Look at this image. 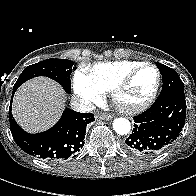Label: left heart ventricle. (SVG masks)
Returning a JSON list of instances; mask_svg holds the SVG:
<instances>
[{
  "mask_svg": "<svg viewBox=\"0 0 196 196\" xmlns=\"http://www.w3.org/2000/svg\"><path fill=\"white\" fill-rule=\"evenodd\" d=\"M157 81V73L152 68L141 70L121 94V102L126 105L144 101L152 92Z\"/></svg>",
  "mask_w": 196,
  "mask_h": 196,
  "instance_id": "1",
  "label": "left heart ventricle"
}]
</instances>
